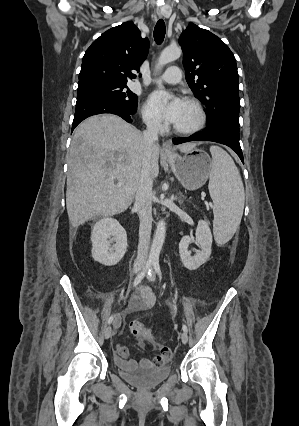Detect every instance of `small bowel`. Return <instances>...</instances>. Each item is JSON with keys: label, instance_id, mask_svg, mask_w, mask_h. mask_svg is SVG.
<instances>
[{"label": "small bowel", "instance_id": "small-bowel-1", "mask_svg": "<svg viewBox=\"0 0 299 426\" xmlns=\"http://www.w3.org/2000/svg\"><path fill=\"white\" fill-rule=\"evenodd\" d=\"M155 303V296L151 290L147 287L141 286L138 288L137 292L133 295L129 307L123 313H120L116 316L114 326L119 328L122 323V318L128 313L138 312L150 309ZM140 346L143 347L144 344L140 342ZM172 356V352H166L161 350V353L154 358H145L140 361L129 359V351L123 345H116L115 347V363L117 366L123 370H134L137 368H153L159 367L167 363Z\"/></svg>", "mask_w": 299, "mask_h": 426}]
</instances>
